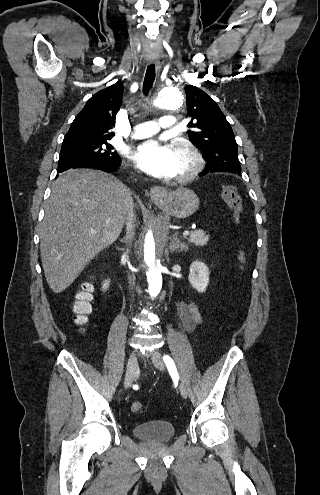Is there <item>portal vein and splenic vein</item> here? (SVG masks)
I'll return each mask as SVG.
<instances>
[{
  "mask_svg": "<svg viewBox=\"0 0 320 495\" xmlns=\"http://www.w3.org/2000/svg\"><path fill=\"white\" fill-rule=\"evenodd\" d=\"M189 234H190V232H189V231H184V232H183V235H189Z\"/></svg>",
  "mask_w": 320,
  "mask_h": 495,
  "instance_id": "1",
  "label": "portal vein and splenic vein"
}]
</instances>
